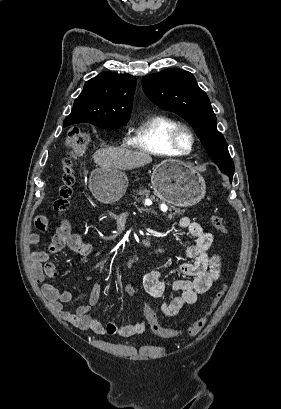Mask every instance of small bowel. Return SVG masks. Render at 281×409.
<instances>
[{
	"label": "small bowel",
	"mask_w": 281,
	"mask_h": 409,
	"mask_svg": "<svg viewBox=\"0 0 281 409\" xmlns=\"http://www.w3.org/2000/svg\"><path fill=\"white\" fill-rule=\"evenodd\" d=\"M35 226H28L27 244L32 246L40 242L39 235L49 234V224L45 215H37ZM179 227L188 232L191 244L186 250L189 261L179 266L180 272L186 277L178 279L173 283V289L179 294L163 305L166 316L174 317L187 305L196 302L197 297L209 290L211 285L219 278L221 270V257L218 254L208 253L212 243L213 235L204 230L202 226L192 221L189 217H182L179 220ZM64 249H69L82 257L86 262L93 251V246L84 241L80 234L73 233L67 220H63L54 233L52 240L44 250H34L31 259L35 265V277L42 285L45 296L50 300L60 317L71 325L85 331H93L99 335H116L129 337L142 333L151 321L157 319L155 312L144 304V320L126 326H118L114 322L103 324L102 321L93 317L91 309L97 305L101 286L98 282L92 285L87 303L78 306L75 312L65 309V305L70 303L74 297L72 291H61L52 284L45 282V279L56 278L59 274L57 266L50 262L51 255L59 253ZM142 285L144 290L152 297L164 295L166 285L161 279V273L157 269L150 270L143 276ZM128 296H134L136 289L128 284L124 287Z\"/></svg>",
	"instance_id": "obj_1"
}]
</instances>
